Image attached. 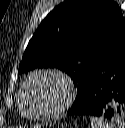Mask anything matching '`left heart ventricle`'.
Wrapping results in <instances>:
<instances>
[{"label":"left heart ventricle","mask_w":125,"mask_h":128,"mask_svg":"<svg viewBox=\"0 0 125 128\" xmlns=\"http://www.w3.org/2000/svg\"><path fill=\"white\" fill-rule=\"evenodd\" d=\"M65 97V86L52 76H38L24 94V106L31 114H41L57 108Z\"/></svg>","instance_id":"b2bd125f"}]
</instances>
